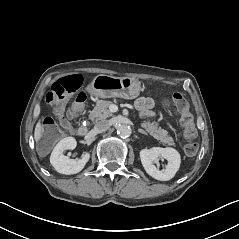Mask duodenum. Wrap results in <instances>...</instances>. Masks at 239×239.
Masks as SVG:
<instances>
[{
    "label": "duodenum",
    "mask_w": 239,
    "mask_h": 239,
    "mask_svg": "<svg viewBox=\"0 0 239 239\" xmlns=\"http://www.w3.org/2000/svg\"><path fill=\"white\" fill-rule=\"evenodd\" d=\"M87 133H88V128L86 126L82 125L78 128L79 136H85V135H87Z\"/></svg>",
    "instance_id": "duodenum-1"
}]
</instances>
